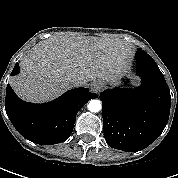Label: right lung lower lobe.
<instances>
[{
  "instance_id": "right-lung-lower-lobe-1",
  "label": "right lung lower lobe",
  "mask_w": 178,
  "mask_h": 178,
  "mask_svg": "<svg viewBox=\"0 0 178 178\" xmlns=\"http://www.w3.org/2000/svg\"><path fill=\"white\" fill-rule=\"evenodd\" d=\"M19 72L16 63L12 75ZM96 97L88 89L76 88L52 102L33 104L19 99L8 84L5 109L11 123L24 138L40 145H50L63 142L71 135L77 112Z\"/></svg>"
}]
</instances>
